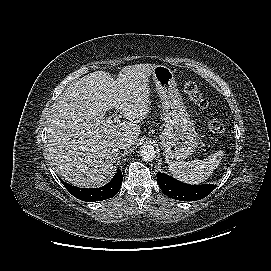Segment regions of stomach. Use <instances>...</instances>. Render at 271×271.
Segmentation results:
<instances>
[{"label":"stomach","instance_id":"0dacf381","mask_svg":"<svg viewBox=\"0 0 271 271\" xmlns=\"http://www.w3.org/2000/svg\"><path fill=\"white\" fill-rule=\"evenodd\" d=\"M151 76L162 104L164 129L160 144L163 155L168 164L178 162L196 151L200 137L177 89L174 72L167 66L156 65Z\"/></svg>","mask_w":271,"mask_h":271}]
</instances>
